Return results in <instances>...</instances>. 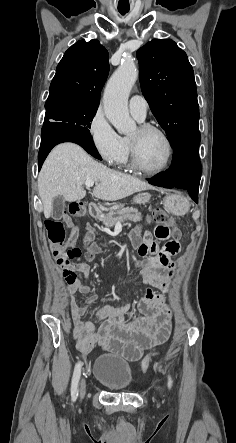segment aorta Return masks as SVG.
<instances>
[{"label": "aorta", "instance_id": "obj_1", "mask_svg": "<svg viewBox=\"0 0 236 443\" xmlns=\"http://www.w3.org/2000/svg\"><path fill=\"white\" fill-rule=\"evenodd\" d=\"M138 77V70L132 60H126L109 79L104 95V112L119 134H129L136 124L128 111V97Z\"/></svg>", "mask_w": 236, "mask_h": 443}]
</instances>
